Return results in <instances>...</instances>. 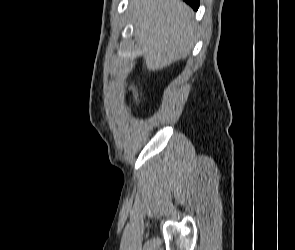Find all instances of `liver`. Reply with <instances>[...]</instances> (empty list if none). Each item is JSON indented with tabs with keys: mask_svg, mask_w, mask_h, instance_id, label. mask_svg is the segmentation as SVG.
I'll return each instance as SVG.
<instances>
[{
	"mask_svg": "<svg viewBox=\"0 0 295 250\" xmlns=\"http://www.w3.org/2000/svg\"><path fill=\"white\" fill-rule=\"evenodd\" d=\"M135 38L147 69H163L186 58L193 47V10L181 0H132Z\"/></svg>",
	"mask_w": 295,
	"mask_h": 250,
	"instance_id": "6515ba94",
	"label": "liver"
}]
</instances>
